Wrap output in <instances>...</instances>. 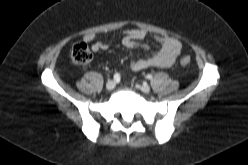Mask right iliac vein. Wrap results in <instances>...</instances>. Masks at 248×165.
Instances as JSON below:
<instances>
[{
  "mask_svg": "<svg viewBox=\"0 0 248 165\" xmlns=\"http://www.w3.org/2000/svg\"><path fill=\"white\" fill-rule=\"evenodd\" d=\"M115 85H116L115 81L110 80L106 83V89L108 91H112L115 88Z\"/></svg>",
  "mask_w": 248,
  "mask_h": 165,
  "instance_id": "obj_1",
  "label": "right iliac vein"
}]
</instances>
